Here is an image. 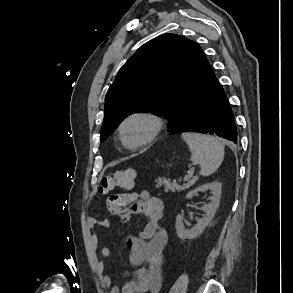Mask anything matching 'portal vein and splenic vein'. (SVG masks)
<instances>
[{"label": "portal vein and splenic vein", "instance_id": "18ae733b", "mask_svg": "<svg viewBox=\"0 0 293 293\" xmlns=\"http://www.w3.org/2000/svg\"><path fill=\"white\" fill-rule=\"evenodd\" d=\"M188 178H189V177L186 176V177L184 178V181L188 180Z\"/></svg>", "mask_w": 293, "mask_h": 293}]
</instances>
